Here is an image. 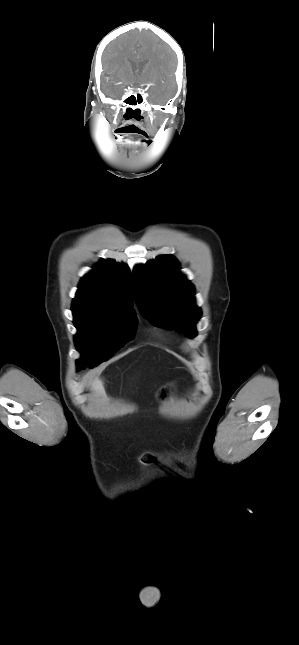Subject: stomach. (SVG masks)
<instances>
[{
    "instance_id": "0dacf381",
    "label": "stomach",
    "mask_w": 299,
    "mask_h": 645,
    "mask_svg": "<svg viewBox=\"0 0 299 645\" xmlns=\"http://www.w3.org/2000/svg\"><path fill=\"white\" fill-rule=\"evenodd\" d=\"M172 390H173L172 384H167L163 386L162 388H160V390L157 393V396H156L157 399L160 401L167 399L172 394Z\"/></svg>"
}]
</instances>
